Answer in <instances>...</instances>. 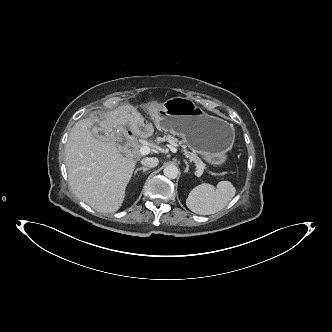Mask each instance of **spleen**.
Returning <instances> with one entry per match:
<instances>
[{
    "instance_id": "spleen-1",
    "label": "spleen",
    "mask_w": 332,
    "mask_h": 332,
    "mask_svg": "<svg viewBox=\"0 0 332 332\" xmlns=\"http://www.w3.org/2000/svg\"><path fill=\"white\" fill-rule=\"evenodd\" d=\"M235 194L236 189L229 181L219 182L216 189L204 183L191 190L186 205L196 214L211 215L222 210Z\"/></svg>"
}]
</instances>
